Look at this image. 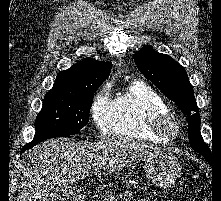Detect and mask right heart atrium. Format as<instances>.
Segmentation results:
<instances>
[{"label": "right heart atrium", "mask_w": 221, "mask_h": 201, "mask_svg": "<svg viewBox=\"0 0 221 201\" xmlns=\"http://www.w3.org/2000/svg\"><path fill=\"white\" fill-rule=\"evenodd\" d=\"M112 103L110 87L105 85L95 94L90 106L91 120L102 135L111 131Z\"/></svg>", "instance_id": "1"}]
</instances>
